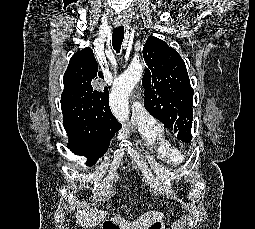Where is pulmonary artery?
Returning <instances> with one entry per match:
<instances>
[{
  "label": "pulmonary artery",
  "instance_id": "obj_1",
  "mask_svg": "<svg viewBox=\"0 0 255 229\" xmlns=\"http://www.w3.org/2000/svg\"><path fill=\"white\" fill-rule=\"evenodd\" d=\"M132 119L140 125L154 127L155 119L145 110L144 106L138 102L134 101L132 103Z\"/></svg>",
  "mask_w": 255,
  "mask_h": 229
}]
</instances>
